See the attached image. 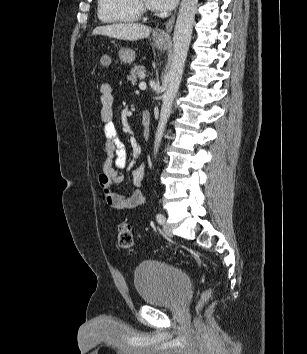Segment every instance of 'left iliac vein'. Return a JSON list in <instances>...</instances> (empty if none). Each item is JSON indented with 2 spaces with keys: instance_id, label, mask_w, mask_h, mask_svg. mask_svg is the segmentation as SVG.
<instances>
[{
  "instance_id": "1",
  "label": "left iliac vein",
  "mask_w": 307,
  "mask_h": 354,
  "mask_svg": "<svg viewBox=\"0 0 307 354\" xmlns=\"http://www.w3.org/2000/svg\"><path fill=\"white\" fill-rule=\"evenodd\" d=\"M163 231H164V233H165L167 236H170V237L173 236L172 230H171L169 224L166 223L165 221H164V223H163Z\"/></svg>"
}]
</instances>
